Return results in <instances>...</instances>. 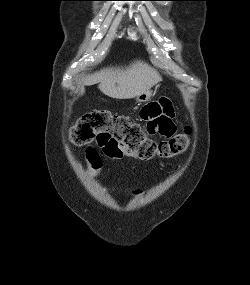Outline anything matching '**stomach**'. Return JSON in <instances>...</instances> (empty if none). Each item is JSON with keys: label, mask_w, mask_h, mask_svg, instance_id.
I'll return each mask as SVG.
<instances>
[{"label": "stomach", "mask_w": 250, "mask_h": 285, "mask_svg": "<svg viewBox=\"0 0 250 285\" xmlns=\"http://www.w3.org/2000/svg\"><path fill=\"white\" fill-rule=\"evenodd\" d=\"M151 96H152V92L149 90V91H147L145 93H142V94L138 95L136 97V100L138 102H146V101H148L151 98Z\"/></svg>", "instance_id": "obj_1"}]
</instances>
